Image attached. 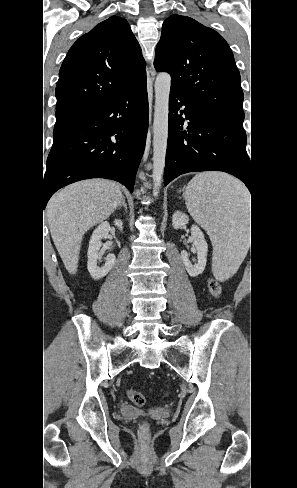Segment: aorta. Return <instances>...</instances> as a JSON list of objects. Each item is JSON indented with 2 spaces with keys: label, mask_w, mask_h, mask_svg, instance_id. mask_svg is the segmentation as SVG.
Listing matches in <instances>:
<instances>
[{
  "label": "aorta",
  "mask_w": 297,
  "mask_h": 488,
  "mask_svg": "<svg viewBox=\"0 0 297 488\" xmlns=\"http://www.w3.org/2000/svg\"><path fill=\"white\" fill-rule=\"evenodd\" d=\"M155 106L153 122V195L158 196L159 188L165 168V158L168 140V115L171 76L159 73L155 84Z\"/></svg>",
  "instance_id": "1"
}]
</instances>
